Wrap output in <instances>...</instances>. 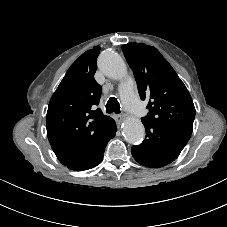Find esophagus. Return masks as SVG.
Returning a JSON list of instances; mask_svg holds the SVG:
<instances>
[{"instance_id":"34e87169","label":"esophagus","mask_w":227,"mask_h":227,"mask_svg":"<svg viewBox=\"0 0 227 227\" xmlns=\"http://www.w3.org/2000/svg\"><path fill=\"white\" fill-rule=\"evenodd\" d=\"M115 121L117 122V123H121L122 121H123V115H115Z\"/></svg>"}]
</instances>
